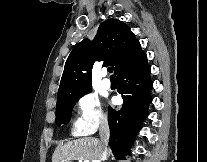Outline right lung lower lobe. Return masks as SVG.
<instances>
[{
    "label": "right lung lower lobe",
    "instance_id": "right-lung-lower-lobe-1",
    "mask_svg": "<svg viewBox=\"0 0 207 162\" xmlns=\"http://www.w3.org/2000/svg\"><path fill=\"white\" fill-rule=\"evenodd\" d=\"M150 72L147 56L143 54L116 74L118 93L122 94L124 103L119 111L109 107L108 122L109 145L117 160H124L127 148L148 115L147 107L152 101Z\"/></svg>",
    "mask_w": 207,
    "mask_h": 162
}]
</instances>
